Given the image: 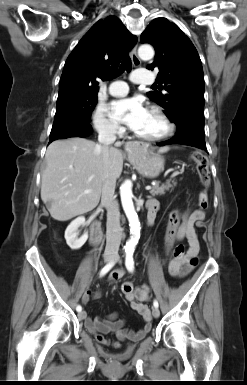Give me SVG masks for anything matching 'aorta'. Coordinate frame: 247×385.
<instances>
[{"label":"aorta","instance_id":"obj_1","mask_svg":"<svg viewBox=\"0 0 247 385\" xmlns=\"http://www.w3.org/2000/svg\"><path fill=\"white\" fill-rule=\"evenodd\" d=\"M138 55L143 60H149L152 59L154 56V49L151 45H141L138 49ZM120 196H121V203L124 209V212L126 214V217L129 221V227H130V239L126 242V245L124 246L125 251H134L138 240L140 238V222L138 219V215L135 211L134 205H133V194H132V183L131 181H125L120 186Z\"/></svg>","mask_w":247,"mask_h":385}]
</instances>
